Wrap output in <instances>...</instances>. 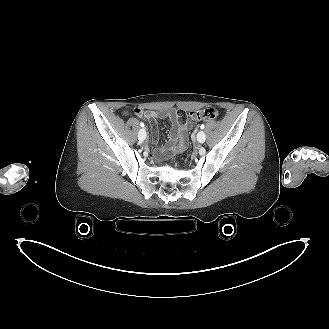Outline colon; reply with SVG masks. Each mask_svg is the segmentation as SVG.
<instances>
[{
    "label": "colon",
    "instance_id": "5ec220e1",
    "mask_svg": "<svg viewBox=\"0 0 329 329\" xmlns=\"http://www.w3.org/2000/svg\"><path fill=\"white\" fill-rule=\"evenodd\" d=\"M189 116L195 121H208L215 119L218 116V112L213 108H205L197 111H192Z\"/></svg>",
    "mask_w": 329,
    "mask_h": 329
}]
</instances>
